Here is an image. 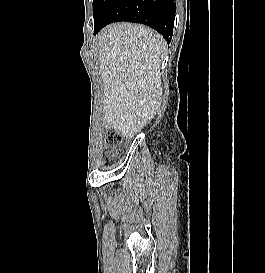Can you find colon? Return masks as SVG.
Returning <instances> with one entry per match:
<instances>
[{
    "label": "colon",
    "instance_id": "1",
    "mask_svg": "<svg viewBox=\"0 0 265 273\" xmlns=\"http://www.w3.org/2000/svg\"><path fill=\"white\" fill-rule=\"evenodd\" d=\"M106 141L108 145L112 147H116L121 144L123 141V134L122 132L116 130V129H109L106 134Z\"/></svg>",
    "mask_w": 265,
    "mask_h": 273
}]
</instances>
